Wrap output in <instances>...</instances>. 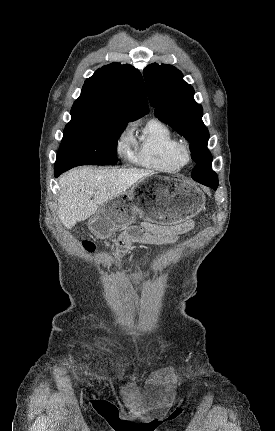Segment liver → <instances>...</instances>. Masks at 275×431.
<instances>
[{"label": "liver", "mask_w": 275, "mask_h": 431, "mask_svg": "<svg viewBox=\"0 0 275 431\" xmlns=\"http://www.w3.org/2000/svg\"><path fill=\"white\" fill-rule=\"evenodd\" d=\"M154 173L138 169L78 167L59 179L58 217L68 229L91 217L103 203L125 193L139 180ZM90 191H93L91 200Z\"/></svg>", "instance_id": "obj_1"}]
</instances>
